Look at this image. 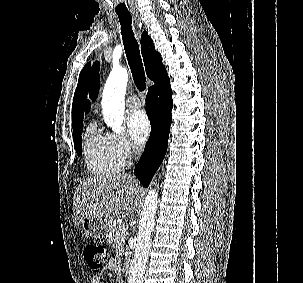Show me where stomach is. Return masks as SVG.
I'll return each instance as SVG.
<instances>
[{"label":"stomach","instance_id":"1","mask_svg":"<svg viewBox=\"0 0 303 283\" xmlns=\"http://www.w3.org/2000/svg\"><path fill=\"white\" fill-rule=\"evenodd\" d=\"M81 225L86 237L102 239L110 233L113 219L105 217L84 218Z\"/></svg>","mask_w":303,"mask_h":283}]
</instances>
